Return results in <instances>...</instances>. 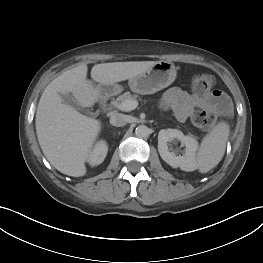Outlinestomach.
I'll list each match as a JSON object with an SVG mask.
<instances>
[{
	"mask_svg": "<svg viewBox=\"0 0 263 263\" xmlns=\"http://www.w3.org/2000/svg\"><path fill=\"white\" fill-rule=\"evenodd\" d=\"M176 68L172 62L158 61L144 72L128 81L131 91L138 94H153L171 85L176 79ZM100 94L118 93L122 87L117 84H99Z\"/></svg>",
	"mask_w": 263,
	"mask_h": 263,
	"instance_id": "stomach-1",
	"label": "stomach"
}]
</instances>
